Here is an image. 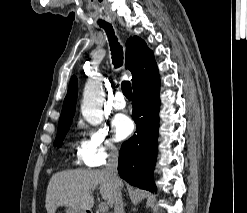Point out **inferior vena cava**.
Here are the masks:
<instances>
[{"instance_id": "602c4592", "label": "inferior vena cava", "mask_w": 247, "mask_h": 213, "mask_svg": "<svg viewBox=\"0 0 247 213\" xmlns=\"http://www.w3.org/2000/svg\"><path fill=\"white\" fill-rule=\"evenodd\" d=\"M118 151L115 146L108 147V160L105 171L109 174L114 183V213H124L123 200L121 194L122 182L118 177Z\"/></svg>"}]
</instances>
